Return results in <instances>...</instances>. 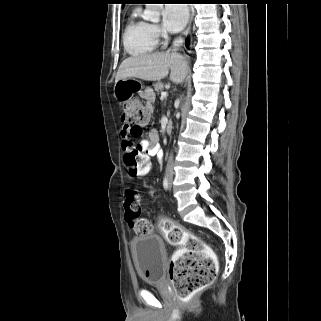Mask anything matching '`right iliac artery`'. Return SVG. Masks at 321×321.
Here are the masks:
<instances>
[{
	"instance_id": "1",
	"label": "right iliac artery",
	"mask_w": 321,
	"mask_h": 321,
	"mask_svg": "<svg viewBox=\"0 0 321 321\" xmlns=\"http://www.w3.org/2000/svg\"><path fill=\"white\" fill-rule=\"evenodd\" d=\"M163 187H164L165 190L168 189V179L166 178V176H165V178L163 180Z\"/></svg>"
}]
</instances>
